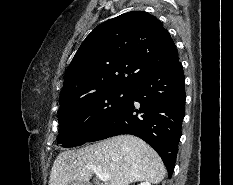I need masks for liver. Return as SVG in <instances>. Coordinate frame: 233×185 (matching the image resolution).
I'll return each mask as SVG.
<instances>
[{"mask_svg":"<svg viewBox=\"0 0 233 185\" xmlns=\"http://www.w3.org/2000/svg\"><path fill=\"white\" fill-rule=\"evenodd\" d=\"M100 167L110 175L107 185H129L133 182L158 184L165 176V166L146 142L132 135L115 136L85 148L67 150L56 157L49 185H68L72 181L88 183L92 170Z\"/></svg>","mask_w":233,"mask_h":185,"instance_id":"liver-1","label":"liver"}]
</instances>
